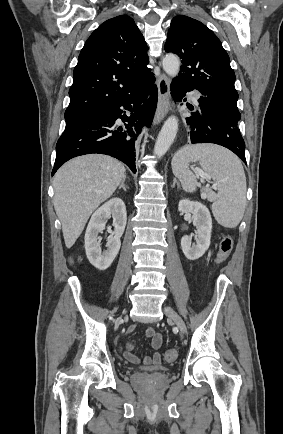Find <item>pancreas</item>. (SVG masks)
Listing matches in <instances>:
<instances>
[{
  "instance_id": "pancreas-1",
  "label": "pancreas",
  "mask_w": 283,
  "mask_h": 434,
  "mask_svg": "<svg viewBox=\"0 0 283 434\" xmlns=\"http://www.w3.org/2000/svg\"><path fill=\"white\" fill-rule=\"evenodd\" d=\"M213 192L210 188L204 187L201 189V197L203 199H212Z\"/></svg>"
}]
</instances>
